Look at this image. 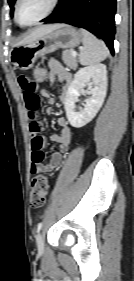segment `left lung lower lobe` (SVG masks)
Wrapping results in <instances>:
<instances>
[{
    "label": "left lung lower lobe",
    "mask_w": 134,
    "mask_h": 281,
    "mask_svg": "<svg viewBox=\"0 0 134 281\" xmlns=\"http://www.w3.org/2000/svg\"><path fill=\"white\" fill-rule=\"evenodd\" d=\"M116 0H61L45 23H67L101 37L114 54Z\"/></svg>",
    "instance_id": "left-lung-lower-lobe-1"
}]
</instances>
